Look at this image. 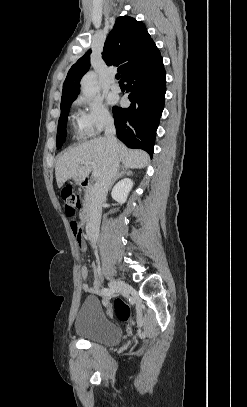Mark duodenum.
Listing matches in <instances>:
<instances>
[{
    "instance_id": "1",
    "label": "duodenum",
    "mask_w": 247,
    "mask_h": 407,
    "mask_svg": "<svg viewBox=\"0 0 247 407\" xmlns=\"http://www.w3.org/2000/svg\"><path fill=\"white\" fill-rule=\"evenodd\" d=\"M82 185H83L85 188H90V187L92 186V181L86 178V179H84V181L82 182ZM93 212H94V206L91 205V204H86V205L82 208V210H81V212H80L81 221H82L83 223H85V224L89 223V222L91 221V219H92Z\"/></svg>"
}]
</instances>
